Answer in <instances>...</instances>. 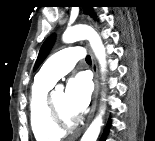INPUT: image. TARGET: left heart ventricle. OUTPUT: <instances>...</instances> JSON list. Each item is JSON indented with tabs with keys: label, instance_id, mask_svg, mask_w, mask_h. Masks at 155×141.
<instances>
[{
	"label": "left heart ventricle",
	"instance_id": "left-heart-ventricle-1",
	"mask_svg": "<svg viewBox=\"0 0 155 141\" xmlns=\"http://www.w3.org/2000/svg\"><path fill=\"white\" fill-rule=\"evenodd\" d=\"M53 102H54V105L57 108V110L60 112V114L64 118L70 119V118L74 117V115L71 114L66 107L65 94L63 92H54L53 93Z\"/></svg>",
	"mask_w": 155,
	"mask_h": 141
}]
</instances>
